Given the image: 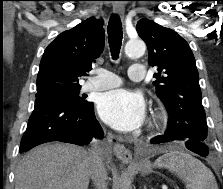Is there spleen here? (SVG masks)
<instances>
[{"label":"spleen","instance_id":"3e777b00","mask_svg":"<svg viewBox=\"0 0 223 189\" xmlns=\"http://www.w3.org/2000/svg\"><path fill=\"white\" fill-rule=\"evenodd\" d=\"M154 166L166 168L179 176L187 189H218L211 170L200 160L181 151H170L157 158Z\"/></svg>","mask_w":223,"mask_h":189}]
</instances>
